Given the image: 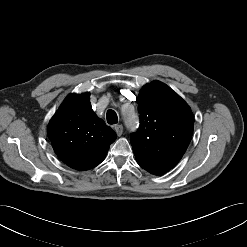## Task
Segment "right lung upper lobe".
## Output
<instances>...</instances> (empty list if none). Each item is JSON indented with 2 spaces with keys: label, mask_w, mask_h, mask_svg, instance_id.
<instances>
[{
  "label": "right lung upper lobe",
  "mask_w": 247,
  "mask_h": 247,
  "mask_svg": "<svg viewBox=\"0 0 247 247\" xmlns=\"http://www.w3.org/2000/svg\"><path fill=\"white\" fill-rule=\"evenodd\" d=\"M89 96L88 92L69 95L48 125V137L57 156L81 171L99 165L117 137L92 110Z\"/></svg>",
  "instance_id": "right-lung-upper-lobe-1"
}]
</instances>
